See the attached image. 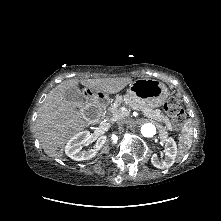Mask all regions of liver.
<instances>
[{
	"instance_id": "1",
	"label": "liver",
	"mask_w": 221,
	"mask_h": 221,
	"mask_svg": "<svg viewBox=\"0 0 221 221\" xmlns=\"http://www.w3.org/2000/svg\"><path fill=\"white\" fill-rule=\"evenodd\" d=\"M83 86L104 88L113 94L123 90L132 79L129 77L98 78L80 81ZM78 80L64 81L56 86L45 98L39 108L35 131L44 152L50 157L61 158L67 140L77 132L87 128L90 122L86 119L82 105L76 106L65 99V91L77 87Z\"/></svg>"
}]
</instances>
